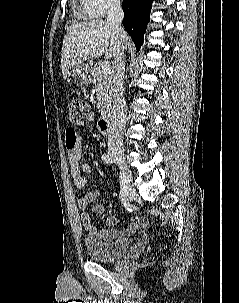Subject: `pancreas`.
<instances>
[{"label":"pancreas","mask_w":239,"mask_h":303,"mask_svg":"<svg viewBox=\"0 0 239 303\" xmlns=\"http://www.w3.org/2000/svg\"><path fill=\"white\" fill-rule=\"evenodd\" d=\"M91 81L97 93V106L100 108L101 113H107L111 108L112 100L111 78L108 73L101 72L100 65H96L91 69Z\"/></svg>","instance_id":"cf45deb5"}]
</instances>
